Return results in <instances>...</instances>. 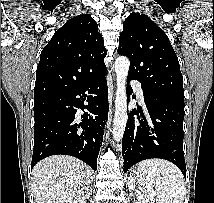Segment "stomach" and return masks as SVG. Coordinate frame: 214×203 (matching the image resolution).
Returning <instances> with one entry per match:
<instances>
[{
  "label": "stomach",
  "instance_id": "obj_1",
  "mask_svg": "<svg viewBox=\"0 0 214 203\" xmlns=\"http://www.w3.org/2000/svg\"><path fill=\"white\" fill-rule=\"evenodd\" d=\"M135 176L137 177V172L134 170V171H133V174H132V176H131V178H130L131 181L135 178Z\"/></svg>",
  "mask_w": 214,
  "mask_h": 203
}]
</instances>
